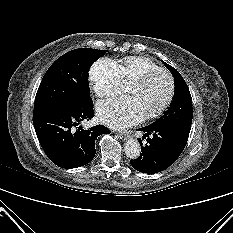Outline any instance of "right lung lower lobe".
Here are the masks:
<instances>
[{"label": "right lung lower lobe", "instance_id": "right-lung-lower-lobe-1", "mask_svg": "<svg viewBox=\"0 0 233 233\" xmlns=\"http://www.w3.org/2000/svg\"><path fill=\"white\" fill-rule=\"evenodd\" d=\"M93 102L74 108H51L33 114L38 140L49 159L71 169L89 163L95 156V139L111 131L103 125L83 130L74 127L93 118Z\"/></svg>", "mask_w": 233, "mask_h": 233}]
</instances>
